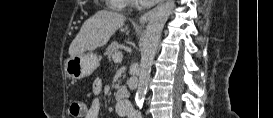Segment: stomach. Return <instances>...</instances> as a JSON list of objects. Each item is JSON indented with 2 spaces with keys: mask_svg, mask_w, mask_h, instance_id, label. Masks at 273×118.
I'll return each instance as SVG.
<instances>
[{
  "mask_svg": "<svg viewBox=\"0 0 273 118\" xmlns=\"http://www.w3.org/2000/svg\"><path fill=\"white\" fill-rule=\"evenodd\" d=\"M99 66L96 54L83 52L76 56H70L65 64L67 76L73 80H80L90 76Z\"/></svg>",
  "mask_w": 273,
  "mask_h": 118,
  "instance_id": "stomach-1",
  "label": "stomach"
}]
</instances>
